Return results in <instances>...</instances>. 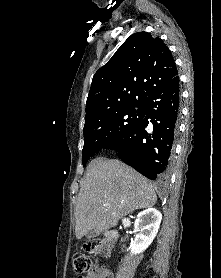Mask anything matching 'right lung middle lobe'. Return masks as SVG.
I'll return each instance as SVG.
<instances>
[{
	"mask_svg": "<svg viewBox=\"0 0 221 278\" xmlns=\"http://www.w3.org/2000/svg\"><path fill=\"white\" fill-rule=\"evenodd\" d=\"M144 103H134L119 108L99 119L89 120L84 125L83 166L101 148L119 142L133 130L144 117Z\"/></svg>",
	"mask_w": 221,
	"mask_h": 278,
	"instance_id": "obj_1",
	"label": "right lung middle lobe"
}]
</instances>
